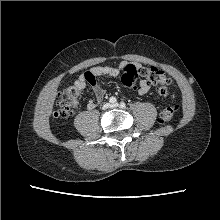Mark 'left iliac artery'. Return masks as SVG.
Instances as JSON below:
<instances>
[{"instance_id":"left-iliac-artery-1","label":"left iliac artery","mask_w":220,"mask_h":220,"mask_svg":"<svg viewBox=\"0 0 220 220\" xmlns=\"http://www.w3.org/2000/svg\"><path fill=\"white\" fill-rule=\"evenodd\" d=\"M120 107H121V108H125V107H126V104H125L124 102H121V103H120Z\"/></svg>"}]
</instances>
